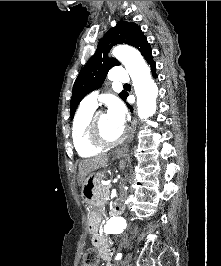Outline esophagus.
I'll use <instances>...</instances> for the list:
<instances>
[{
	"mask_svg": "<svg viewBox=\"0 0 221 266\" xmlns=\"http://www.w3.org/2000/svg\"><path fill=\"white\" fill-rule=\"evenodd\" d=\"M134 113H135V109H134ZM135 127H136V120H135V118H133V120H132V125H131V130H130V133H129L128 139H127V141H126V145L132 140L133 135H134V131H135ZM126 145H125V146H126Z\"/></svg>",
	"mask_w": 221,
	"mask_h": 266,
	"instance_id": "34e87169",
	"label": "esophagus"
}]
</instances>
